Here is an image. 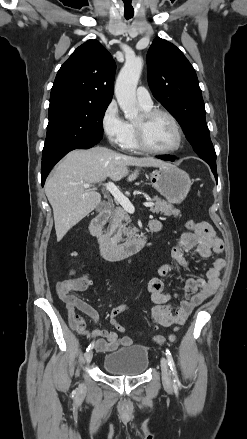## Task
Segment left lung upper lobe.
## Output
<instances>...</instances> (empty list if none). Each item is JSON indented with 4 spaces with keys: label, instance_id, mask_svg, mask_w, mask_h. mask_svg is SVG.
<instances>
[{
    "label": "left lung upper lobe",
    "instance_id": "obj_1",
    "mask_svg": "<svg viewBox=\"0 0 247 439\" xmlns=\"http://www.w3.org/2000/svg\"><path fill=\"white\" fill-rule=\"evenodd\" d=\"M146 59L153 96L179 122L200 158L216 168V153L193 66L175 45L159 37L154 39Z\"/></svg>",
    "mask_w": 247,
    "mask_h": 439
}]
</instances>
